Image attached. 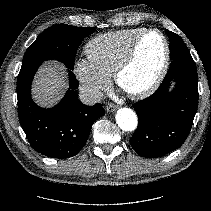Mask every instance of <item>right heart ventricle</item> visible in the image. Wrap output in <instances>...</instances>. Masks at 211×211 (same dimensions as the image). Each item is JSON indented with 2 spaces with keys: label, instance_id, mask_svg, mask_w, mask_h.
Instances as JSON below:
<instances>
[{
  "label": "right heart ventricle",
  "instance_id": "obj_1",
  "mask_svg": "<svg viewBox=\"0 0 211 211\" xmlns=\"http://www.w3.org/2000/svg\"><path fill=\"white\" fill-rule=\"evenodd\" d=\"M144 29L128 28L96 36L86 44V55L98 70L111 77L133 40Z\"/></svg>",
  "mask_w": 211,
  "mask_h": 211
}]
</instances>
